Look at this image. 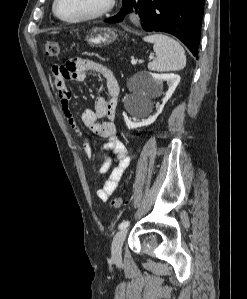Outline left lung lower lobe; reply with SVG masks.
<instances>
[{
    "label": "left lung lower lobe",
    "mask_w": 247,
    "mask_h": 299,
    "mask_svg": "<svg viewBox=\"0 0 247 299\" xmlns=\"http://www.w3.org/2000/svg\"><path fill=\"white\" fill-rule=\"evenodd\" d=\"M204 2L205 0H131L105 22H121L127 13L135 9L143 21L144 30L174 35L197 57Z\"/></svg>",
    "instance_id": "1"
}]
</instances>
